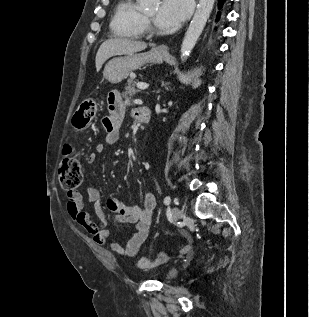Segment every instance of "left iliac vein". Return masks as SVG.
<instances>
[{
	"label": "left iliac vein",
	"instance_id": "left-iliac-vein-1",
	"mask_svg": "<svg viewBox=\"0 0 309 317\" xmlns=\"http://www.w3.org/2000/svg\"><path fill=\"white\" fill-rule=\"evenodd\" d=\"M181 213H182L181 210L177 206L172 207L171 209L172 221L176 222L180 218Z\"/></svg>",
	"mask_w": 309,
	"mask_h": 317
}]
</instances>
